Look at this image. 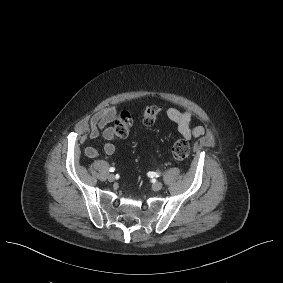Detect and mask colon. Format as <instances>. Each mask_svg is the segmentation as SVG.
<instances>
[{
  "mask_svg": "<svg viewBox=\"0 0 283 283\" xmlns=\"http://www.w3.org/2000/svg\"><path fill=\"white\" fill-rule=\"evenodd\" d=\"M160 113V107L158 105L148 106L143 113V124L146 126L153 125ZM133 120L131 115L123 111L121 112L115 120L114 123V135L117 140H122L126 138L131 130ZM171 153L173 157L178 160H184L188 157L190 153L189 143L183 139L178 138L174 141L171 147Z\"/></svg>",
  "mask_w": 283,
  "mask_h": 283,
  "instance_id": "colon-1",
  "label": "colon"
}]
</instances>
